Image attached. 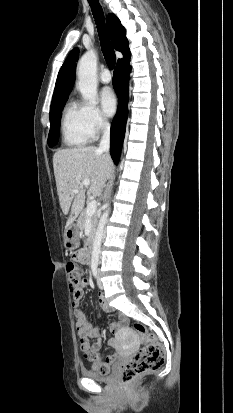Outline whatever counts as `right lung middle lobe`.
I'll list each match as a JSON object with an SVG mask.
<instances>
[{
	"label": "right lung middle lobe",
	"instance_id": "dd1d6c3e",
	"mask_svg": "<svg viewBox=\"0 0 233 413\" xmlns=\"http://www.w3.org/2000/svg\"><path fill=\"white\" fill-rule=\"evenodd\" d=\"M67 99H64L58 103L51 104L50 107V131L48 135V145L53 147L59 138V127H60V118L61 111L65 105Z\"/></svg>",
	"mask_w": 233,
	"mask_h": 413
}]
</instances>
